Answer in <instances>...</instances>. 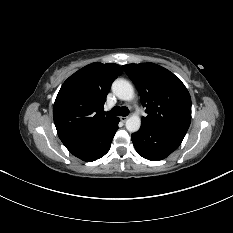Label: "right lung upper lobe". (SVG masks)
<instances>
[{"label": "right lung upper lobe", "mask_w": 233, "mask_h": 233, "mask_svg": "<svg viewBox=\"0 0 233 233\" xmlns=\"http://www.w3.org/2000/svg\"><path fill=\"white\" fill-rule=\"evenodd\" d=\"M122 72L114 63H92L63 83L53 107V119L61 141L116 118L105 116L102 109L113 80Z\"/></svg>", "instance_id": "right-lung-upper-lobe-1"}]
</instances>
